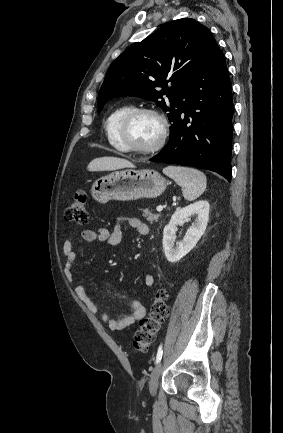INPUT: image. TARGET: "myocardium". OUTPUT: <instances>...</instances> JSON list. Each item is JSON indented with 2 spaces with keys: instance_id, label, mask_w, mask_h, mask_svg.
<instances>
[{
  "instance_id": "1",
  "label": "myocardium",
  "mask_w": 283,
  "mask_h": 433,
  "mask_svg": "<svg viewBox=\"0 0 283 433\" xmlns=\"http://www.w3.org/2000/svg\"><path fill=\"white\" fill-rule=\"evenodd\" d=\"M142 114H152L158 117L162 123V133L157 144L150 149H142L136 147L129 138L128 131L134 119ZM170 130V123L167 116L159 109L151 106H142L136 107L129 110L121 119L119 128H118V139L124 149L128 152L134 153L140 156H156L158 155L165 147L168 135Z\"/></svg>"
}]
</instances>
